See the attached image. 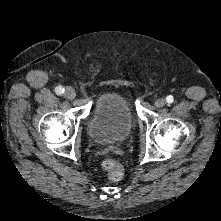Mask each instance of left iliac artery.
<instances>
[{
  "label": "left iliac artery",
  "mask_w": 221,
  "mask_h": 221,
  "mask_svg": "<svg viewBox=\"0 0 221 221\" xmlns=\"http://www.w3.org/2000/svg\"><path fill=\"white\" fill-rule=\"evenodd\" d=\"M166 101H167L168 103H172V102L174 101L173 96H171V95L167 96V97H166Z\"/></svg>",
  "instance_id": "left-iliac-artery-1"
}]
</instances>
